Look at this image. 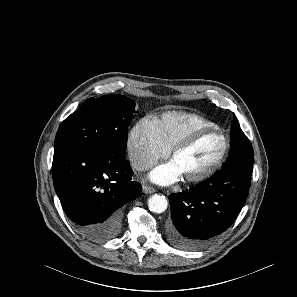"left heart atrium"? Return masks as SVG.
<instances>
[{
    "label": "left heart atrium",
    "instance_id": "obj_1",
    "mask_svg": "<svg viewBox=\"0 0 297 297\" xmlns=\"http://www.w3.org/2000/svg\"><path fill=\"white\" fill-rule=\"evenodd\" d=\"M179 169L173 162H168L156 167L149 174V178L152 182L160 185H169L181 178Z\"/></svg>",
    "mask_w": 297,
    "mask_h": 297
}]
</instances>
